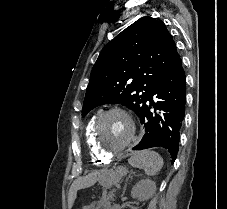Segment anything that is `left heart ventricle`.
<instances>
[{"instance_id":"b2bd125f","label":"left heart ventricle","mask_w":227,"mask_h":209,"mask_svg":"<svg viewBox=\"0 0 227 209\" xmlns=\"http://www.w3.org/2000/svg\"><path fill=\"white\" fill-rule=\"evenodd\" d=\"M131 135V126L121 114H111L102 122L99 139L102 145L112 150L123 145Z\"/></svg>"}]
</instances>
